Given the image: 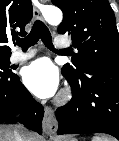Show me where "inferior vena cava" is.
Returning a JSON list of instances; mask_svg holds the SVG:
<instances>
[{
  "mask_svg": "<svg viewBox=\"0 0 119 141\" xmlns=\"http://www.w3.org/2000/svg\"><path fill=\"white\" fill-rule=\"evenodd\" d=\"M18 128L22 129V127L15 128L14 141H27L24 134L25 132L18 130Z\"/></svg>",
  "mask_w": 119,
  "mask_h": 141,
  "instance_id": "1",
  "label": "inferior vena cava"
}]
</instances>
